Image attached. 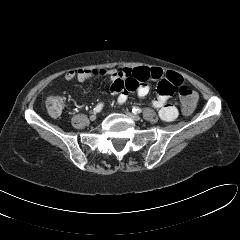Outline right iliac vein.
I'll return each instance as SVG.
<instances>
[{"label":"right iliac vein","instance_id":"1","mask_svg":"<svg viewBox=\"0 0 240 240\" xmlns=\"http://www.w3.org/2000/svg\"><path fill=\"white\" fill-rule=\"evenodd\" d=\"M96 119V114H92L91 116H90V120L91 121H94Z\"/></svg>","mask_w":240,"mask_h":240}]
</instances>
